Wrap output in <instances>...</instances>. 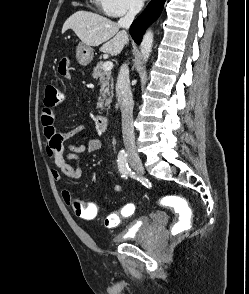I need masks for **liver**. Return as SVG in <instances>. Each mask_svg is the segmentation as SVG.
<instances>
[{"mask_svg":"<svg viewBox=\"0 0 249 294\" xmlns=\"http://www.w3.org/2000/svg\"><path fill=\"white\" fill-rule=\"evenodd\" d=\"M72 29L83 44L99 46L101 52L112 56L118 55L125 44L128 36L119 31V25L106 17L89 11H77L64 23L62 33Z\"/></svg>","mask_w":249,"mask_h":294,"instance_id":"obj_1","label":"liver"}]
</instances>
